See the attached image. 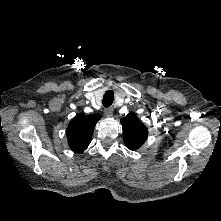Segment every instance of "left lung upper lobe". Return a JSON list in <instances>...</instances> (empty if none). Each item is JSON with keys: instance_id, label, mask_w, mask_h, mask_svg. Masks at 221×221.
Masks as SVG:
<instances>
[{"instance_id": "obj_1", "label": "left lung upper lobe", "mask_w": 221, "mask_h": 221, "mask_svg": "<svg viewBox=\"0 0 221 221\" xmlns=\"http://www.w3.org/2000/svg\"><path fill=\"white\" fill-rule=\"evenodd\" d=\"M123 128L124 143L130 150H136L143 145L147 139L148 130L144 124L140 122L138 117L130 112L121 119Z\"/></svg>"}]
</instances>
